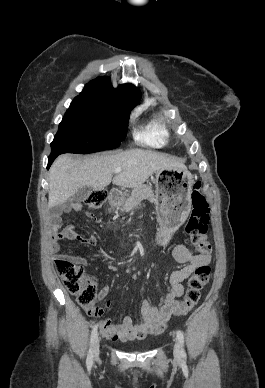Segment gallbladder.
Instances as JSON below:
<instances>
[{
	"label": "gallbladder",
	"instance_id": "obj_1",
	"mask_svg": "<svg viewBox=\"0 0 265 388\" xmlns=\"http://www.w3.org/2000/svg\"><path fill=\"white\" fill-rule=\"evenodd\" d=\"M91 190L92 188H86V186H84V188H80V190H78L76 194H73L72 196L73 202H83V200H86V198L90 196Z\"/></svg>",
	"mask_w": 265,
	"mask_h": 388
}]
</instances>
